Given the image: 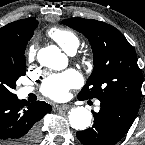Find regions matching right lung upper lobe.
Wrapping results in <instances>:
<instances>
[{
    "instance_id": "1",
    "label": "right lung upper lobe",
    "mask_w": 145,
    "mask_h": 145,
    "mask_svg": "<svg viewBox=\"0 0 145 145\" xmlns=\"http://www.w3.org/2000/svg\"><path fill=\"white\" fill-rule=\"evenodd\" d=\"M38 22L35 18L22 19L0 28V48L25 41L33 35Z\"/></svg>"
}]
</instances>
